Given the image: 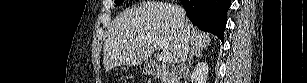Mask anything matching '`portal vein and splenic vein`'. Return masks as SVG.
<instances>
[{"label":"portal vein and splenic vein","mask_w":307,"mask_h":83,"mask_svg":"<svg viewBox=\"0 0 307 83\" xmlns=\"http://www.w3.org/2000/svg\"><path fill=\"white\" fill-rule=\"evenodd\" d=\"M156 43H157V45L160 49H163V44L158 39L156 40ZM161 58H162L164 63H171L172 62V56L169 53H164L161 56Z\"/></svg>","instance_id":"1"}]
</instances>
